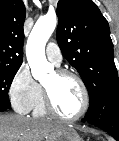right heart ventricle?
I'll return each instance as SVG.
<instances>
[{
    "mask_svg": "<svg viewBox=\"0 0 119 141\" xmlns=\"http://www.w3.org/2000/svg\"><path fill=\"white\" fill-rule=\"evenodd\" d=\"M32 110H33V115L35 117H44L47 115V111L44 106L42 90H41L39 98H38V100Z\"/></svg>",
    "mask_w": 119,
    "mask_h": 141,
    "instance_id": "e07e8e85",
    "label": "right heart ventricle"
}]
</instances>
